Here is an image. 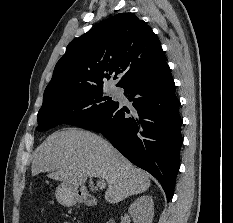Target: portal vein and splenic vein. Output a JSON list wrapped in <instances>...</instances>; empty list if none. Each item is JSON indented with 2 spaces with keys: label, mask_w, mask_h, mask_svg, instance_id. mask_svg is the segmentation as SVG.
<instances>
[{
  "label": "portal vein and splenic vein",
  "mask_w": 233,
  "mask_h": 223,
  "mask_svg": "<svg viewBox=\"0 0 233 223\" xmlns=\"http://www.w3.org/2000/svg\"><path fill=\"white\" fill-rule=\"evenodd\" d=\"M96 185L99 189H103V187H106L105 179H102V177H100V179H96Z\"/></svg>",
  "instance_id": "18ae733b"
}]
</instances>
